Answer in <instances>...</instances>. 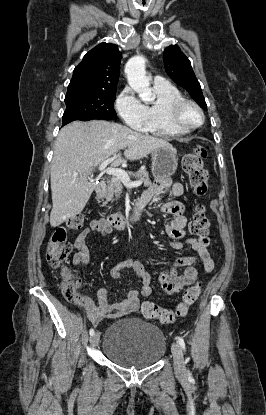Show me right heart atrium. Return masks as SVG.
<instances>
[{"label": "right heart atrium", "mask_w": 266, "mask_h": 415, "mask_svg": "<svg viewBox=\"0 0 266 415\" xmlns=\"http://www.w3.org/2000/svg\"><path fill=\"white\" fill-rule=\"evenodd\" d=\"M115 107L122 120L134 129H142L146 122V106L131 88H125L117 97Z\"/></svg>", "instance_id": "obj_1"}]
</instances>
